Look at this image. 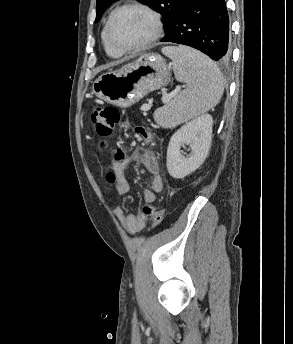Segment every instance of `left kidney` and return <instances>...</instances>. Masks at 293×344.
<instances>
[{
	"instance_id": "5707ae66",
	"label": "left kidney",
	"mask_w": 293,
	"mask_h": 344,
	"mask_svg": "<svg viewBox=\"0 0 293 344\" xmlns=\"http://www.w3.org/2000/svg\"><path fill=\"white\" fill-rule=\"evenodd\" d=\"M213 119L203 114L179 128L171 137L167 149V170L175 179H182L197 170L205 161L212 138ZM191 147V154L184 157L180 148Z\"/></svg>"
}]
</instances>
